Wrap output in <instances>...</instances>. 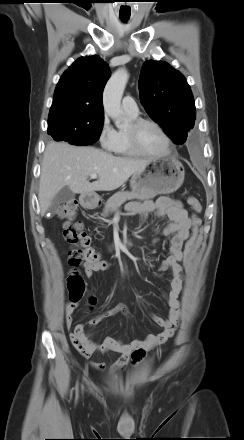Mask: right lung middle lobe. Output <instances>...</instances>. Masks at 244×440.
Here are the masks:
<instances>
[{"mask_svg": "<svg viewBox=\"0 0 244 440\" xmlns=\"http://www.w3.org/2000/svg\"><path fill=\"white\" fill-rule=\"evenodd\" d=\"M103 121L80 123L74 121H48V133L56 141H66L73 145L95 143L102 131Z\"/></svg>", "mask_w": 244, "mask_h": 440, "instance_id": "dd1d6c3e", "label": "right lung middle lobe"}]
</instances>
